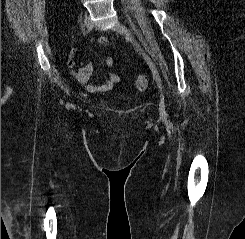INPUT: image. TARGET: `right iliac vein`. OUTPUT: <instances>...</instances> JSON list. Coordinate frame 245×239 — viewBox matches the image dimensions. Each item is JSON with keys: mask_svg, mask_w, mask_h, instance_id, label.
<instances>
[{"mask_svg": "<svg viewBox=\"0 0 245 239\" xmlns=\"http://www.w3.org/2000/svg\"><path fill=\"white\" fill-rule=\"evenodd\" d=\"M83 22L87 28L92 24V21L89 15H85Z\"/></svg>", "mask_w": 245, "mask_h": 239, "instance_id": "1", "label": "right iliac vein"}]
</instances>
